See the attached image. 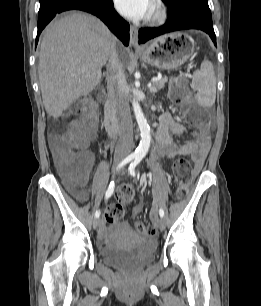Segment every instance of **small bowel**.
<instances>
[{
	"instance_id": "obj_1",
	"label": "small bowel",
	"mask_w": 261,
	"mask_h": 306,
	"mask_svg": "<svg viewBox=\"0 0 261 306\" xmlns=\"http://www.w3.org/2000/svg\"><path fill=\"white\" fill-rule=\"evenodd\" d=\"M188 133V129L174 117L165 112L160 116L159 127L157 130V152L161 156L168 158L178 155L189 156L195 164L197 170L203 167L206 157L210 150V139L208 137L202 140H191L185 144H178L174 141L175 136H181ZM88 158L89 171L94 163V156L91 152L85 153ZM79 198H85L86 193L83 191H75L74 193ZM141 211V204H138L133 209V213ZM106 234V231H103Z\"/></svg>"
}]
</instances>
